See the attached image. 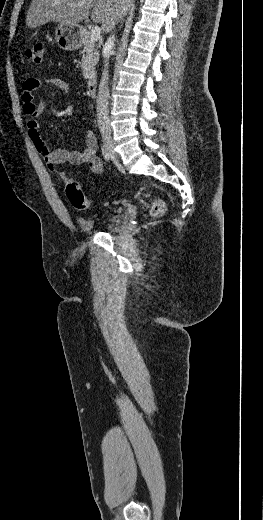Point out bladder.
I'll return each mask as SVG.
<instances>
[{
  "label": "bladder",
  "mask_w": 263,
  "mask_h": 520,
  "mask_svg": "<svg viewBox=\"0 0 263 520\" xmlns=\"http://www.w3.org/2000/svg\"><path fill=\"white\" fill-rule=\"evenodd\" d=\"M120 217L117 215L108 216L103 219L78 218L77 223L83 231L95 229H114L120 224Z\"/></svg>",
  "instance_id": "bladder-1"
}]
</instances>
